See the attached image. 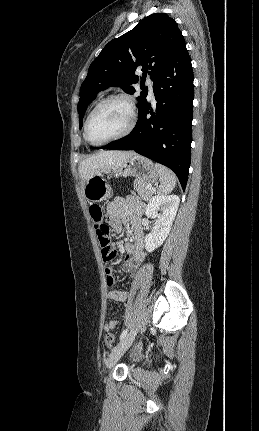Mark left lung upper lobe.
I'll return each mask as SVG.
<instances>
[{
	"label": "left lung upper lobe",
	"mask_w": 259,
	"mask_h": 431,
	"mask_svg": "<svg viewBox=\"0 0 259 431\" xmlns=\"http://www.w3.org/2000/svg\"><path fill=\"white\" fill-rule=\"evenodd\" d=\"M182 40L184 38L175 20L165 13H155L140 21L131 31L107 43L91 63L80 88V128L88 104L101 90L116 86L133 94L135 89L130 85L137 83L139 79L134 74L136 69L143 71L141 80L145 79L147 73L154 80ZM141 89L143 91L137 97L138 107L146 100L148 93L147 87Z\"/></svg>",
	"instance_id": "1"
}]
</instances>
